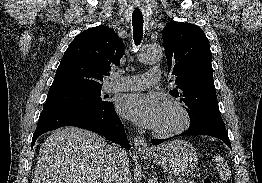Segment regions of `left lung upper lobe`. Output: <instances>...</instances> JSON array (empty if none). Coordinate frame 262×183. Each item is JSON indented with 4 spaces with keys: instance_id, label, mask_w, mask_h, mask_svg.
<instances>
[{
    "instance_id": "5c2ea615",
    "label": "left lung upper lobe",
    "mask_w": 262,
    "mask_h": 183,
    "mask_svg": "<svg viewBox=\"0 0 262 183\" xmlns=\"http://www.w3.org/2000/svg\"><path fill=\"white\" fill-rule=\"evenodd\" d=\"M162 36L168 70L177 85L170 94L179 98L188 111L190 127L222 121L213 82L212 54L203 30L193 24L171 21Z\"/></svg>"
}]
</instances>
